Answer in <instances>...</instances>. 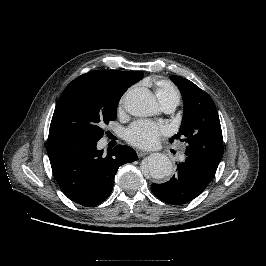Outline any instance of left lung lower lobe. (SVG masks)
<instances>
[{"label":"left lung lower lobe","mask_w":266,"mask_h":266,"mask_svg":"<svg viewBox=\"0 0 266 266\" xmlns=\"http://www.w3.org/2000/svg\"><path fill=\"white\" fill-rule=\"evenodd\" d=\"M217 168L186 157L185 161L177 164V174L168 182L152 184V192L162 201L180 205L187 203L207 187L213 179Z\"/></svg>","instance_id":"1"}]
</instances>
